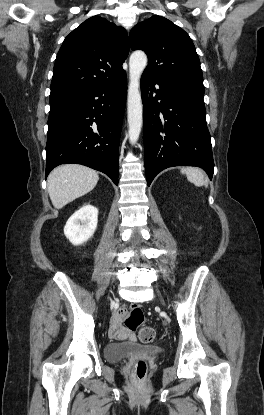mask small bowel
Masks as SVG:
<instances>
[{
  "label": "small bowel",
  "instance_id": "obj_1",
  "mask_svg": "<svg viewBox=\"0 0 264 415\" xmlns=\"http://www.w3.org/2000/svg\"><path fill=\"white\" fill-rule=\"evenodd\" d=\"M127 308H120L117 312H115L110 320V327H109V338L113 341H123L129 339L134 341L136 339L135 334L132 330H126L123 327V319L127 314Z\"/></svg>",
  "mask_w": 264,
  "mask_h": 415
}]
</instances>
